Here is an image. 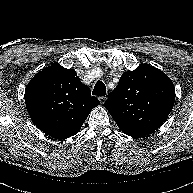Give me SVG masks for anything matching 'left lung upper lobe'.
<instances>
[{
  "instance_id": "1",
  "label": "left lung upper lobe",
  "mask_w": 193,
  "mask_h": 193,
  "mask_svg": "<svg viewBox=\"0 0 193 193\" xmlns=\"http://www.w3.org/2000/svg\"><path fill=\"white\" fill-rule=\"evenodd\" d=\"M174 101L171 79L159 69L140 64L135 70L123 73L105 107L123 133L144 137L164 123Z\"/></svg>"
}]
</instances>
